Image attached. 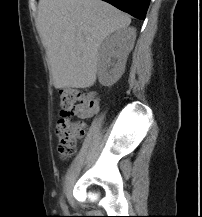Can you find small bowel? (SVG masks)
<instances>
[{
  "instance_id": "small-bowel-1",
  "label": "small bowel",
  "mask_w": 202,
  "mask_h": 217,
  "mask_svg": "<svg viewBox=\"0 0 202 217\" xmlns=\"http://www.w3.org/2000/svg\"><path fill=\"white\" fill-rule=\"evenodd\" d=\"M99 111V101L95 96H91L90 103L86 105L77 106L74 109V115L80 117L81 119H89L94 114Z\"/></svg>"
}]
</instances>
